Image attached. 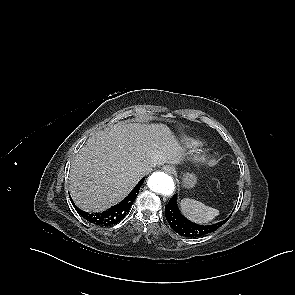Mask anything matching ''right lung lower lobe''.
<instances>
[{"mask_svg": "<svg viewBox=\"0 0 295 295\" xmlns=\"http://www.w3.org/2000/svg\"><path fill=\"white\" fill-rule=\"evenodd\" d=\"M144 179H142L135 188L131 191V193L119 204L111 207L110 209L102 212V213H87L82 210H80L74 203L72 202L74 208L76 211L87 221L90 223H93L95 225L100 226H109L113 224H117L122 219L125 218L127 213L129 212V209L133 202L135 201L139 189L141 185L143 184Z\"/></svg>", "mask_w": 295, "mask_h": 295, "instance_id": "98d812e1", "label": "right lung lower lobe"}]
</instances>
